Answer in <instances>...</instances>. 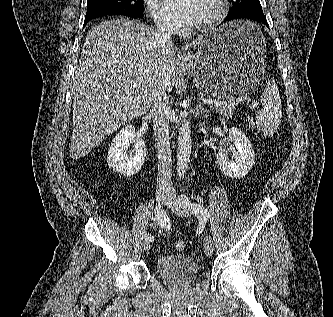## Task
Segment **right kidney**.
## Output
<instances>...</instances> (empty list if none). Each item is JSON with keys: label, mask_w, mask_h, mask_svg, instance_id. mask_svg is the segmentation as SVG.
Listing matches in <instances>:
<instances>
[{"label": "right kidney", "mask_w": 333, "mask_h": 317, "mask_svg": "<svg viewBox=\"0 0 333 317\" xmlns=\"http://www.w3.org/2000/svg\"><path fill=\"white\" fill-rule=\"evenodd\" d=\"M131 144H134V148L129 153ZM146 151V144L144 140L136 137L134 126L127 125L113 139L108 150L107 163L118 173L130 177L142 168Z\"/></svg>", "instance_id": "ca27d5eb"}]
</instances>
